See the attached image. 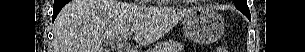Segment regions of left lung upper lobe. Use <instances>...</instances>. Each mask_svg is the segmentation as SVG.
I'll return each mask as SVG.
<instances>
[{
  "mask_svg": "<svg viewBox=\"0 0 305 52\" xmlns=\"http://www.w3.org/2000/svg\"><path fill=\"white\" fill-rule=\"evenodd\" d=\"M235 6L238 10H240L245 16L250 18V11L247 6L246 0H235Z\"/></svg>",
  "mask_w": 305,
  "mask_h": 52,
  "instance_id": "5c2ea615",
  "label": "left lung upper lobe"
}]
</instances>
